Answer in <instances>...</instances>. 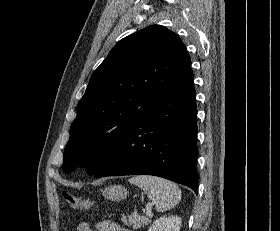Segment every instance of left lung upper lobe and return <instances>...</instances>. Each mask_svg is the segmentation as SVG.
I'll use <instances>...</instances> for the list:
<instances>
[{
    "instance_id": "left-lung-upper-lobe-1",
    "label": "left lung upper lobe",
    "mask_w": 280,
    "mask_h": 231,
    "mask_svg": "<svg viewBox=\"0 0 280 231\" xmlns=\"http://www.w3.org/2000/svg\"><path fill=\"white\" fill-rule=\"evenodd\" d=\"M190 66L181 39L163 26L146 27L119 41L92 74L78 103L64 172L85 165L95 174L116 142L192 74Z\"/></svg>"
}]
</instances>
